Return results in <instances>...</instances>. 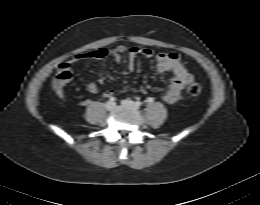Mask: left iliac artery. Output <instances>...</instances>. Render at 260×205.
<instances>
[{
    "label": "left iliac artery",
    "mask_w": 260,
    "mask_h": 205,
    "mask_svg": "<svg viewBox=\"0 0 260 205\" xmlns=\"http://www.w3.org/2000/svg\"><path fill=\"white\" fill-rule=\"evenodd\" d=\"M135 103H136V105H137L138 107H140V106L142 105V102H141V101H139V100H138V101H136Z\"/></svg>",
    "instance_id": "obj_1"
}]
</instances>
